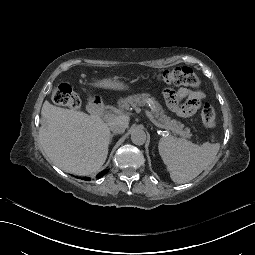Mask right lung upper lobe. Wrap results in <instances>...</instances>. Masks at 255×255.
<instances>
[{"label":"right lung upper lobe","mask_w":255,"mask_h":255,"mask_svg":"<svg viewBox=\"0 0 255 255\" xmlns=\"http://www.w3.org/2000/svg\"><path fill=\"white\" fill-rule=\"evenodd\" d=\"M108 171H109L108 169L102 171L101 173L98 174L97 177H101L102 175L106 174Z\"/></svg>","instance_id":"right-lung-upper-lobe-1"}]
</instances>
